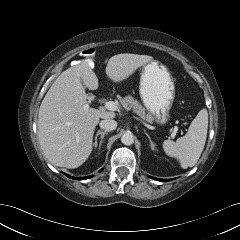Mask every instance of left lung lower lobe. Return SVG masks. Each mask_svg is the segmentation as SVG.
I'll use <instances>...</instances> for the list:
<instances>
[{
    "instance_id": "obj_1",
    "label": "left lung lower lobe",
    "mask_w": 240,
    "mask_h": 240,
    "mask_svg": "<svg viewBox=\"0 0 240 240\" xmlns=\"http://www.w3.org/2000/svg\"><path fill=\"white\" fill-rule=\"evenodd\" d=\"M152 179H155V180H158V181H169L168 179H159V178H154V177H151ZM171 180V179H170Z\"/></svg>"
}]
</instances>
